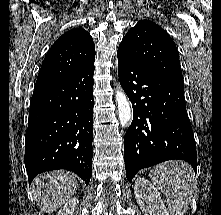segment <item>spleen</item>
<instances>
[{
    "label": "spleen",
    "mask_w": 221,
    "mask_h": 215,
    "mask_svg": "<svg viewBox=\"0 0 221 215\" xmlns=\"http://www.w3.org/2000/svg\"><path fill=\"white\" fill-rule=\"evenodd\" d=\"M149 177L166 196L170 215H184L196 188L191 166L179 160L167 161L152 168Z\"/></svg>",
    "instance_id": "1"
}]
</instances>
